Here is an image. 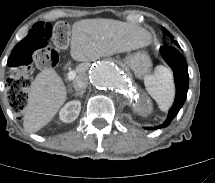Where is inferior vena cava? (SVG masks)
Masks as SVG:
<instances>
[{"label":"inferior vena cava","mask_w":215,"mask_h":183,"mask_svg":"<svg viewBox=\"0 0 215 183\" xmlns=\"http://www.w3.org/2000/svg\"><path fill=\"white\" fill-rule=\"evenodd\" d=\"M88 82V77L86 75H82L74 80L73 87L76 91H81L88 86Z\"/></svg>","instance_id":"602c4592"}]
</instances>
